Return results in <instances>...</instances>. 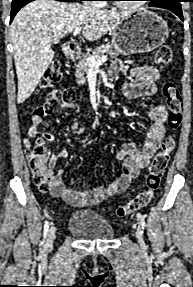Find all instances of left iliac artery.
<instances>
[{"label":"left iliac artery","instance_id":"1","mask_svg":"<svg viewBox=\"0 0 193 287\" xmlns=\"http://www.w3.org/2000/svg\"><path fill=\"white\" fill-rule=\"evenodd\" d=\"M138 219L140 220L142 229H144V227L146 226V222H145L144 216L138 215Z\"/></svg>","mask_w":193,"mask_h":287}]
</instances>
